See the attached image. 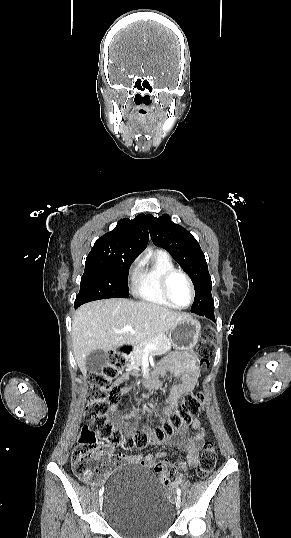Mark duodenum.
<instances>
[{
    "label": "duodenum",
    "mask_w": 291,
    "mask_h": 538,
    "mask_svg": "<svg viewBox=\"0 0 291 538\" xmlns=\"http://www.w3.org/2000/svg\"><path fill=\"white\" fill-rule=\"evenodd\" d=\"M134 351V348L131 347V346H124L121 348L120 352L124 355V356H130Z\"/></svg>",
    "instance_id": "obj_1"
}]
</instances>
